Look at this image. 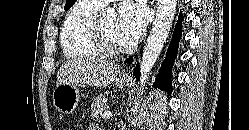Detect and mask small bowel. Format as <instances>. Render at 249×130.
<instances>
[{"mask_svg": "<svg viewBox=\"0 0 249 130\" xmlns=\"http://www.w3.org/2000/svg\"><path fill=\"white\" fill-rule=\"evenodd\" d=\"M86 130H101L96 124H91Z\"/></svg>", "mask_w": 249, "mask_h": 130, "instance_id": "obj_1", "label": "small bowel"}]
</instances>
